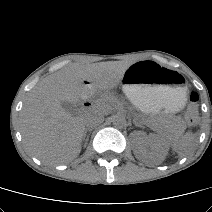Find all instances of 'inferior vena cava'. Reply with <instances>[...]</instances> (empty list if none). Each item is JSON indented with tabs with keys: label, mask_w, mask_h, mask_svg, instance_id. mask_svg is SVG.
Returning <instances> with one entry per match:
<instances>
[{
	"label": "inferior vena cava",
	"mask_w": 212,
	"mask_h": 212,
	"mask_svg": "<svg viewBox=\"0 0 212 212\" xmlns=\"http://www.w3.org/2000/svg\"><path fill=\"white\" fill-rule=\"evenodd\" d=\"M104 115L100 112L93 111L85 115V125L88 128L96 127L97 125L103 123Z\"/></svg>",
	"instance_id": "obj_1"
}]
</instances>
